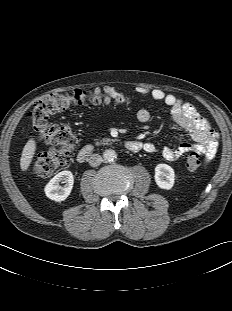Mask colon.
I'll use <instances>...</instances> for the list:
<instances>
[{"instance_id": "obj_1", "label": "colon", "mask_w": 232, "mask_h": 311, "mask_svg": "<svg viewBox=\"0 0 232 311\" xmlns=\"http://www.w3.org/2000/svg\"><path fill=\"white\" fill-rule=\"evenodd\" d=\"M92 101L124 102V96L113 88H97L92 91L73 90L67 94H50L38 99L31 112V123L37 139L50 146L49 150L38 156L32 163V172L46 177L59 168L67 165L71 159L76 139L71 129L62 124L49 122V117L57 112L64 111L73 105ZM200 166V158L191 153L186 160V167L195 171Z\"/></svg>"}]
</instances>
